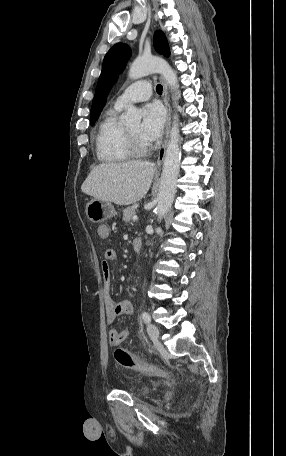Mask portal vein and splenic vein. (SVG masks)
Wrapping results in <instances>:
<instances>
[{
  "label": "portal vein and splenic vein",
  "instance_id": "18ae733b",
  "mask_svg": "<svg viewBox=\"0 0 286 456\" xmlns=\"http://www.w3.org/2000/svg\"><path fill=\"white\" fill-rule=\"evenodd\" d=\"M133 221H137L138 217L136 215L133 216Z\"/></svg>",
  "mask_w": 286,
  "mask_h": 456
}]
</instances>
